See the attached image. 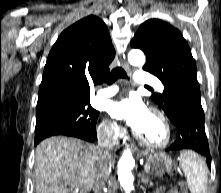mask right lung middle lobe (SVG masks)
Wrapping results in <instances>:
<instances>
[{"label": "right lung middle lobe", "instance_id": "right-lung-middle-lobe-1", "mask_svg": "<svg viewBox=\"0 0 221 193\" xmlns=\"http://www.w3.org/2000/svg\"><path fill=\"white\" fill-rule=\"evenodd\" d=\"M89 102L55 101L37 105L35 139L60 135L66 131L94 132L99 112Z\"/></svg>", "mask_w": 221, "mask_h": 193}]
</instances>
